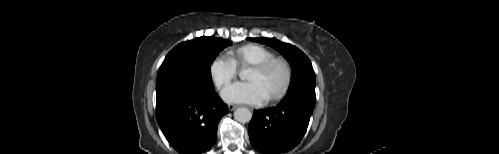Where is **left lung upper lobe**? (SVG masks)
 I'll return each instance as SVG.
<instances>
[{
  "label": "left lung upper lobe",
  "mask_w": 499,
  "mask_h": 154,
  "mask_svg": "<svg viewBox=\"0 0 499 154\" xmlns=\"http://www.w3.org/2000/svg\"><path fill=\"white\" fill-rule=\"evenodd\" d=\"M253 41L266 44L279 51L292 68L291 90L296 88H315V73L309 58L297 47L278 41L275 38H252Z\"/></svg>",
  "instance_id": "obj_1"
}]
</instances>
